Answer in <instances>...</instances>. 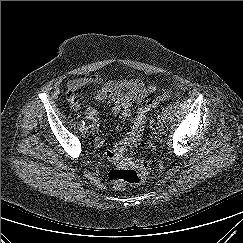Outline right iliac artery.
Wrapping results in <instances>:
<instances>
[{
    "mask_svg": "<svg viewBox=\"0 0 243 243\" xmlns=\"http://www.w3.org/2000/svg\"><path fill=\"white\" fill-rule=\"evenodd\" d=\"M79 124H80L81 126H84V125H85V122H84V121H80Z\"/></svg>",
    "mask_w": 243,
    "mask_h": 243,
    "instance_id": "obj_1",
    "label": "right iliac artery"
}]
</instances>
